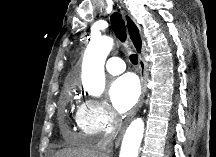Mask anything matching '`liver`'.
<instances>
[{
    "instance_id": "1",
    "label": "liver",
    "mask_w": 216,
    "mask_h": 157,
    "mask_svg": "<svg viewBox=\"0 0 216 157\" xmlns=\"http://www.w3.org/2000/svg\"><path fill=\"white\" fill-rule=\"evenodd\" d=\"M56 157H99L95 147H76L62 150L56 153Z\"/></svg>"
}]
</instances>
